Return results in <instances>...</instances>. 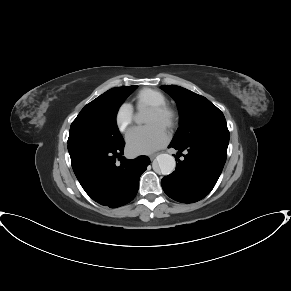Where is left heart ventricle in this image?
<instances>
[{"label":"left heart ventricle","instance_id":"1","mask_svg":"<svg viewBox=\"0 0 291 291\" xmlns=\"http://www.w3.org/2000/svg\"><path fill=\"white\" fill-rule=\"evenodd\" d=\"M145 124L150 125V124H160L164 126L162 119L160 116L153 112L152 110H148L146 119H145Z\"/></svg>","mask_w":291,"mask_h":291}]
</instances>
